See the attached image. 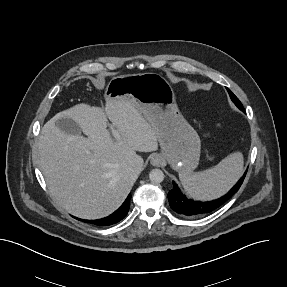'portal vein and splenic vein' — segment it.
Instances as JSON below:
<instances>
[{"mask_svg": "<svg viewBox=\"0 0 287 287\" xmlns=\"http://www.w3.org/2000/svg\"><path fill=\"white\" fill-rule=\"evenodd\" d=\"M111 133L115 137L116 140H121V136H120L119 132L116 129H114L113 127H111Z\"/></svg>", "mask_w": 287, "mask_h": 287, "instance_id": "1", "label": "portal vein and splenic vein"}]
</instances>
